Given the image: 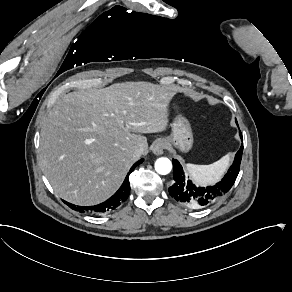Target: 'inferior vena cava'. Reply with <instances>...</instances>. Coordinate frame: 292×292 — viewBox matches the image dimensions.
<instances>
[{"mask_svg": "<svg viewBox=\"0 0 292 292\" xmlns=\"http://www.w3.org/2000/svg\"><path fill=\"white\" fill-rule=\"evenodd\" d=\"M143 154V148H137L134 151V157H140Z\"/></svg>", "mask_w": 292, "mask_h": 292, "instance_id": "1", "label": "inferior vena cava"}]
</instances>
